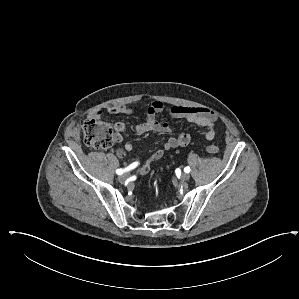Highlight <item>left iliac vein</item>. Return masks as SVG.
I'll list each match as a JSON object with an SVG mask.
<instances>
[{
    "mask_svg": "<svg viewBox=\"0 0 299 299\" xmlns=\"http://www.w3.org/2000/svg\"><path fill=\"white\" fill-rule=\"evenodd\" d=\"M189 178H190V175L188 173H182L181 177H180V179L182 181H187V180H189Z\"/></svg>",
    "mask_w": 299,
    "mask_h": 299,
    "instance_id": "left-iliac-vein-1",
    "label": "left iliac vein"
}]
</instances>
